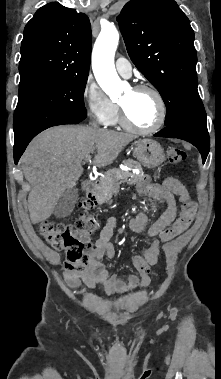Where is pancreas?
<instances>
[{
  "instance_id": "cf45deb5",
  "label": "pancreas",
  "mask_w": 221,
  "mask_h": 379,
  "mask_svg": "<svg viewBox=\"0 0 221 379\" xmlns=\"http://www.w3.org/2000/svg\"><path fill=\"white\" fill-rule=\"evenodd\" d=\"M124 164L131 168H136L140 171L139 174L122 171L119 168H114L105 172L100 178L97 186V195L101 201L109 200L112 195L118 191L121 183L133 184L136 183L143 175L141 164L132 159L124 161Z\"/></svg>"
}]
</instances>
